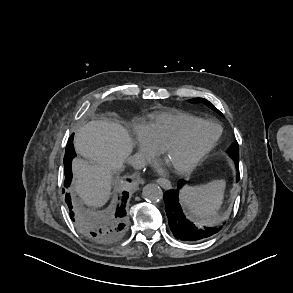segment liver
Segmentation results:
<instances>
[{"instance_id":"6515ba94","label":"liver","mask_w":293,"mask_h":293,"mask_svg":"<svg viewBox=\"0 0 293 293\" xmlns=\"http://www.w3.org/2000/svg\"><path fill=\"white\" fill-rule=\"evenodd\" d=\"M74 147L85 158L72 162L74 191L88 206H102L109 198L113 172L132 151L130 136L118 123L94 120L75 134Z\"/></svg>"}]
</instances>
